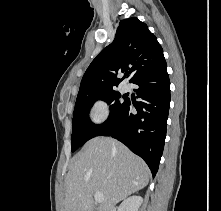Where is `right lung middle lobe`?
I'll list each match as a JSON object with an SVG mask.
<instances>
[{
  "label": "right lung middle lobe",
  "instance_id": "obj_1",
  "mask_svg": "<svg viewBox=\"0 0 221 211\" xmlns=\"http://www.w3.org/2000/svg\"><path fill=\"white\" fill-rule=\"evenodd\" d=\"M104 100L110 105V115L106 122L95 125L90 121L89 110L96 100ZM121 95L116 91H109L101 94L78 97L75 103L73 120L71 151H76L89 139L96 137L98 133L108 125L126 103V99L121 101Z\"/></svg>",
  "mask_w": 221,
  "mask_h": 211
}]
</instances>
